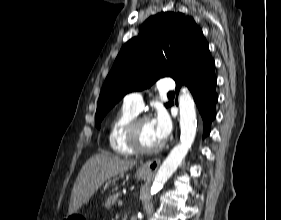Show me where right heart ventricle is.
<instances>
[{
  "label": "right heart ventricle",
  "instance_id": "obj_1",
  "mask_svg": "<svg viewBox=\"0 0 281 220\" xmlns=\"http://www.w3.org/2000/svg\"><path fill=\"white\" fill-rule=\"evenodd\" d=\"M138 113L136 110L123 104L122 108L113 118L108 132V144L114 153L121 156H132L136 153L127 143L126 130L129 123Z\"/></svg>",
  "mask_w": 281,
  "mask_h": 220
}]
</instances>
